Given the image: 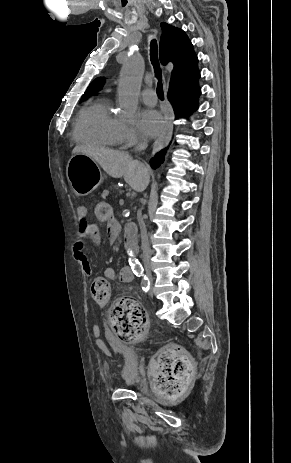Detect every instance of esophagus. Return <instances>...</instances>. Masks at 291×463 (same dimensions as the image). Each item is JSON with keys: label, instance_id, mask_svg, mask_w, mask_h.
<instances>
[{"label": "esophagus", "instance_id": "esophagus-1", "mask_svg": "<svg viewBox=\"0 0 291 463\" xmlns=\"http://www.w3.org/2000/svg\"><path fill=\"white\" fill-rule=\"evenodd\" d=\"M170 135H171V124H170L169 118L165 117V128L153 145L152 155L155 154V152L161 150L166 145V143L168 142L170 138Z\"/></svg>", "mask_w": 291, "mask_h": 463}]
</instances>
